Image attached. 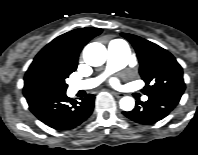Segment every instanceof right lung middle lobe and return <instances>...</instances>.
Listing matches in <instances>:
<instances>
[{
	"instance_id": "dd1d6c3e",
	"label": "right lung middle lobe",
	"mask_w": 198,
	"mask_h": 155,
	"mask_svg": "<svg viewBox=\"0 0 198 155\" xmlns=\"http://www.w3.org/2000/svg\"><path fill=\"white\" fill-rule=\"evenodd\" d=\"M75 69L56 64H43L34 68L28 75V90L33 94L65 93L68 85L65 80Z\"/></svg>"
}]
</instances>
